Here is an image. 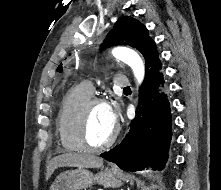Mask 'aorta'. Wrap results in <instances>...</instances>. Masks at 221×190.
Returning <instances> with one entry per match:
<instances>
[{
  "instance_id": "762f6f07",
  "label": "aorta",
  "mask_w": 221,
  "mask_h": 190,
  "mask_svg": "<svg viewBox=\"0 0 221 190\" xmlns=\"http://www.w3.org/2000/svg\"><path fill=\"white\" fill-rule=\"evenodd\" d=\"M112 55L131 67L139 83L143 81L145 75L144 63L135 51L127 47H116L112 50Z\"/></svg>"
}]
</instances>
